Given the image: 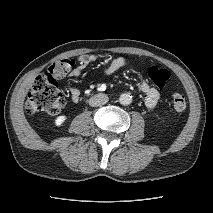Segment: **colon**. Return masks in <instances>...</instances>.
Instances as JSON below:
<instances>
[{
    "label": "colon",
    "instance_id": "1",
    "mask_svg": "<svg viewBox=\"0 0 213 213\" xmlns=\"http://www.w3.org/2000/svg\"><path fill=\"white\" fill-rule=\"evenodd\" d=\"M73 66L74 62L70 59L58 60L36 78L26 101V110L29 114L43 112L48 115H57L62 111L65 106V97L58 88L56 78L65 76ZM148 76L160 88L166 85L170 77L166 69L155 66L148 69ZM171 101L175 111L185 110L186 101L182 94L174 93Z\"/></svg>",
    "mask_w": 213,
    "mask_h": 213
}]
</instances>
